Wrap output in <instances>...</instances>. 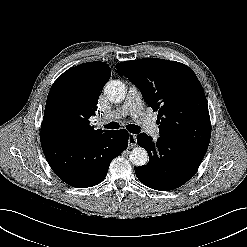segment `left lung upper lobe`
<instances>
[{
  "instance_id": "5c2ea615",
  "label": "left lung upper lobe",
  "mask_w": 247,
  "mask_h": 247,
  "mask_svg": "<svg viewBox=\"0 0 247 247\" xmlns=\"http://www.w3.org/2000/svg\"><path fill=\"white\" fill-rule=\"evenodd\" d=\"M141 91L146 103L158 111L161 137L208 148L211 123L203 87L188 66L158 58L116 64Z\"/></svg>"
}]
</instances>
